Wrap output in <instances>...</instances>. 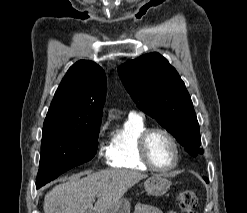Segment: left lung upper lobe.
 <instances>
[{
  "mask_svg": "<svg viewBox=\"0 0 247 213\" xmlns=\"http://www.w3.org/2000/svg\"><path fill=\"white\" fill-rule=\"evenodd\" d=\"M137 107L155 118L192 156L203 153L199 124L185 84L159 53H148L118 68ZM208 183V179L205 180Z\"/></svg>",
  "mask_w": 247,
  "mask_h": 213,
  "instance_id": "1",
  "label": "left lung upper lobe"
}]
</instances>
